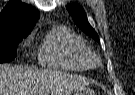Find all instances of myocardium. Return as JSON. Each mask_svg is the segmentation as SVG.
<instances>
[{
  "instance_id": "1",
  "label": "myocardium",
  "mask_w": 135,
  "mask_h": 95,
  "mask_svg": "<svg viewBox=\"0 0 135 95\" xmlns=\"http://www.w3.org/2000/svg\"><path fill=\"white\" fill-rule=\"evenodd\" d=\"M100 63V60L92 55V66H97Z\"/></svg>"
}]
</instances>
